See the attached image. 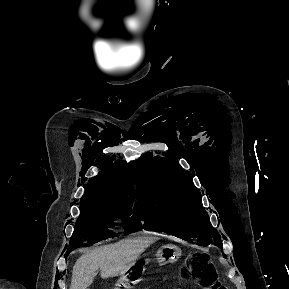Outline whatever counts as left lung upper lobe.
Here are the masks:
<instances>
[{
  "label": "left lung upper lobe",
  "mask_w": 289,
  "mask_h": 289,
  "mask_svg": "<svg viewBox=\"0 0 289 289\" xmlns=\"http://www.w3.org/2000/svg\"><path fill=\"white\" fill-rule=\"evenodd\" d=\"M138 173L137 187L140 186L142 194L137 205L146 229L163 231L197 245L214 244L223 248L191 174L175 158L146 154L139 162Z\"/></svg>",
  "instance_id": "obj_1"
}]
</instances>
